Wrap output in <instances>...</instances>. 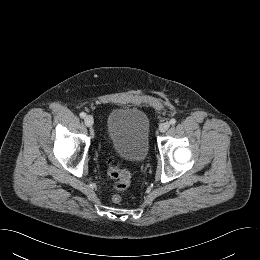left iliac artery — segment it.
I'll list each match as a JSON object with an SVG mask.
<instances>
[{
	"label": "left iliac artery",
	"instance_id": "left-iliac-artery-1",
	"mask_svg": "<svg viewBox=\"0 0 260 260\" xmlns=\"http://www.w3.org/2000/svg\"><path fill=\"white\" fill-rule=\"evenodd\" d=\"M175 123H176V119L173 118V119L170 120L171 125H174Z\"/></svg>",
	"mask_w": 260,
	"mask_h": 260
}]
</instances>
